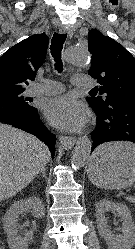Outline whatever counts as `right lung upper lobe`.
Segmentation results:
<instances>
[{
	"label": "right lung upper lobe",
	"mask_w": 135,
	"mask_h": 249,
	"mask_svg": "<svg viewBox=\"0 0 135 249\" xmlns=\"http://www.w3.org/2000/svg\"><path fill=\"white\" fill-rule=\"evenodd\" d=\"M49 38L34 34L11 47L0 57V92L24 91L27 80H33L42 65Z\"/></svg>",
	"instance_id": "cb5924a9"
}]
</instances>
